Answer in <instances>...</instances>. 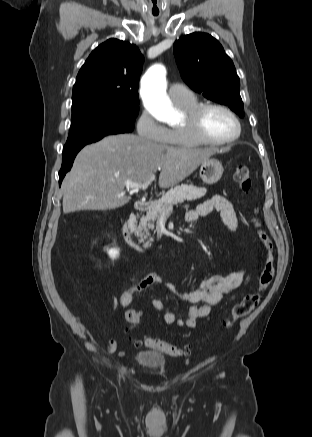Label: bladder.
<instances>
[{
	"label": "bladder",
	"instance_id": "31cf9c89",
	"mask_svg": "<svg viewBox=\"0 0 312 437\" xmlns=\"http://www.w3.org/2000/svg\"><path fill=\"white\" fill-rule=\"evenodd\" d=\"M137 364L143 368L158 371L165 364V357L157 351H140L135 358Z\"/></svg>",
	"mask_w": 312,
	"mask_h": 437
}]
</instances>
